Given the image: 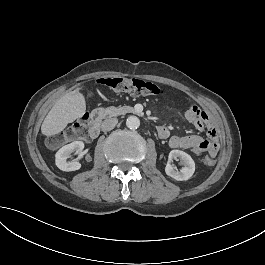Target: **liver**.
Masks as SVG:
<instances>
[{
    "label": "liver",
    "mask_w": 265,
    "mask_h": 265,
    "mask_svg": "<svg viewBox=\"0 0 265 265\" xmlns=\"http://www.w3.org/2000/svg\"><path fill=\"white\" fill-rule=\"evenodd\" d=\"M86 100L79 89L62 96L50 109L41 125V133L50 137L63 131L67 125L84 115Z\"/></svg>",
    "instance_id": "1"
}]
</instances>
